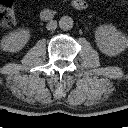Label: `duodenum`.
Masks as SVG:
<instances>
[{"instance_id":"410a0bca","label":"duodenum","mask_w":128,"mask_h":128,"mask_svg":"<svg viewBox=\"0 0 128 128\" xmlns=\"http://www.w3.org/2000/svg\"><path fill=\"white\" fill-rule=\"evenodd\" d=\"M71 6L78 11H83L87 8V2L85 0H72ZM55 17V12L51 9H43L40 12V18L43 21H51Z\"/></svg>"}]
</instances>
